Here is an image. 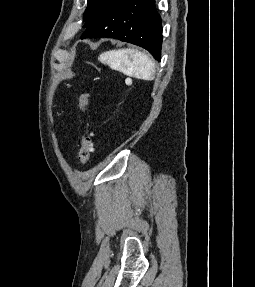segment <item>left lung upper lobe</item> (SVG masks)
Returning a JSON list of instances; mask_svg holds the SVG:
<instances>
[{"label":"left lung upper lobe","instance_id":"left-lung-upper-lobe-1","mask_svg":"<svg viewBox=\"0 0 255 287\" xmlns=\"http://www.w3.org/2000/svg\"><path fill=\"white\" fill-rule=\"evenodd\" d=\"M88 6L84 13V28L96 19L114 0H87Z\"/></svg>","mask_w":255,"mask_h":287}]
</instances>
